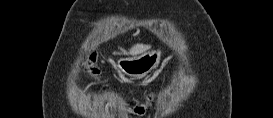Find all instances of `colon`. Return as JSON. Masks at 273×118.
I'll use <instances>...</instances> for the list:
<instances>
[{"label": "colon", "mask_w": 273, "mask_h": 118, "mask_svg": "<svg viewBox=\"0 0 273 118\" xmlns=\"http://www.w3.org/2000/svg\"><path fill=\"white\" fill-rule=\"evenodd\" d=\"M84 73L93 86H99L101 83V73L97 67V59L89 55L84 62ZM155 94H148L145 102L133 105L132 110L137 115H142L148 105L154 100Z\"/></svg>", "instance_id": "colon-1"}]
</instances>
